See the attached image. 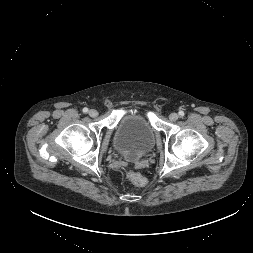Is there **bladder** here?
<instances>
[{
    "label": "bladder",
    "mask_w": 253,
    "mask_h": 253,
    "mask_svg": "<svg viewBox=\"0 0 253 253\" xmlns=\"http://www.w3.org/2000/svg\"><path fill=\"white\" fill-rule=\"evenodd\" d=\"M155 143V131L146 116H124L115 131V149L128 159H137L149 152Z\"/></svg>",
    "instance_id": "bladder-1"
}]
</instances>
